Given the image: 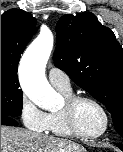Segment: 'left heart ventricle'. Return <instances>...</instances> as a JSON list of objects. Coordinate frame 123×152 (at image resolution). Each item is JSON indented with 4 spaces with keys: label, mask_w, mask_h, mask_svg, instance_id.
<instances>
[{
    "label": "left heart ventricle",
    "mask_w": 123,
    "mask_h": 152,
    "mask_svg": "<svg viewBox=\"0 0 123 152\" xmlns=\"http://www.w3.org/2000/svg\"><path fill=\"white\" fill-rule=\"evenodd\" d=\"M76 122L82 132L95 134L103 128L104 117L94 104L83 101L76 108Z\"/></svg>",
    "instance_id": "left-heart-ventricle-1"
}]
</instances>
